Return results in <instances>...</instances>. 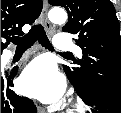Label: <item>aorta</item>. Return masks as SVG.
I'll list each match as a JSON object with an SVG mask.
<instances>
[{"label":"aorta","instance_id":"762f6f07","mask_svg":"<svg viewBox=\"0 0 121 113\" xmlns=\"http://www.w3.org/2000/svg\"><path fill=\"white\" fill-rule=\"evenodd\" d=\"M48 17L54 24H63L67 20V13L64 9L53 8L49 11Z\"/></svg>","mask_w":121,"mask_h":113}]
</instances>
